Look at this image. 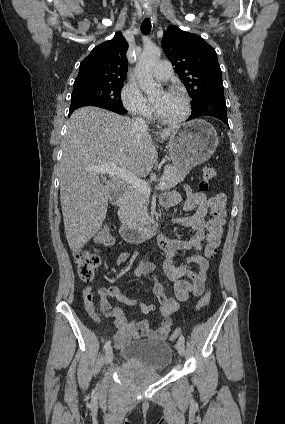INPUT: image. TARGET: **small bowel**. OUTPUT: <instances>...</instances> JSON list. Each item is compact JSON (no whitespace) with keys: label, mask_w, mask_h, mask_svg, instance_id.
<instances>
[{"label":"small bowel","mask_w":285,"mask_h":424,"mask_svg":"<svg viewBox=\"0 0 285 424\" xmlns=\"http://www.w3.org/2000/svg\"><path fill=\"white\" fill-rule=\"evenodd\" d=\"M181 201V193L170 191L163 195L162 205L165 208H173ZM183 209L185 212L194 211L189 216H175L173 221L189 232L187 239H166L159 238V246L165 253L163 270L165 275L174 281V297H169L162 284L155 277H152V291L157 298L158 304H143L132 300L122 293L116 286L103 287L98 290L100 305L104 316L112 320L116 326L114 342L120 348L128 341L146 337L156 340H165L172 329L173 322L171 315L179 308L180 301H186L190 296H200L205 290V282L209 269L208 257H212L204 246L207 238L205 230L208 223L205 216L208 210L206 195L202 192L192 191L185 187V201ZM185 255L179 265H175V260L182 254ZM129 251L120 253L117 265H121L130 258ZM155 266L150 262L142 263L135 270L137 277H142L154 270ZM94 288L87 286L83 290V302L86 312L94 322H99L100 318L94 303ZM113 297L118 302L135 306L137 305L143 314L156 313L159 324L152 327L146 319H135L128 321L124 312L119 307H114L108 298Z\"/></svg>","instance_id":"c3829d8e"}]
</instances>
